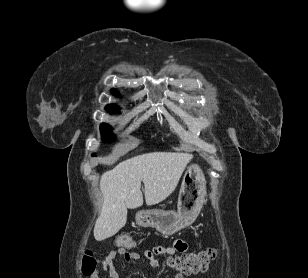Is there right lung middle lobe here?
I'll return each instance as SVG.
<instances>
[{"instance_id": "obj_1", "label": "right lung middle lobe", "mask_w": 308, "mask_h": 278, "mask_svg": "<svg viewBox=\"0 0 308 278\" xmlns=\"http://www.w3.org/2000/svg\"><path fill=\"white\" fill-rule=\"evenodd\" d=\"M101 135L104 142H110L114 140V135L112 133V128L108 124H101ZM94 156V155H93Z\"/></svg>"}]
</instances>
